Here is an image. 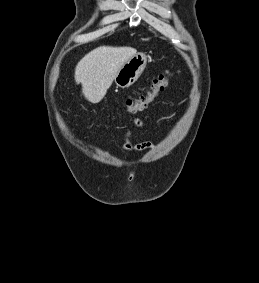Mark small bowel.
<instances>
[{"label": "small bowel", "mask_w": 259, "mask_h": 283, "mask_svg": "<svg viewBox=\"0 0 259 283\" xmlns=\"http://www.w3.org/2000/svg\"><path fill=\"white\" fill-rule=\"evenodd\" d=\"M136 125H141V121L139 119L135 120ZM129 133L125 135V143L123 145V150L129 153H136V152H142L146 150H152L154 148L153 144L151 142H142L139 144H132L129 140Z\"/></svg>", "instance_id": "1"}]
</instances>
